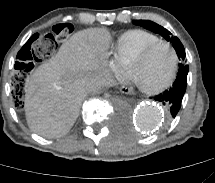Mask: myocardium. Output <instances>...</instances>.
I'll return each instance as SVG.
<instances>
[{
	"label": "myocardium",
	"mask_w": 215,
	"mask_h": 183,
	"mask_svg": "<svg viewBox=\"0 0 215 183\" xmlns=\"http://www.w3.org/2000/svg\"><path fill=\"white\" fill-rule=\"evenodd\" d=\"M161 45L167 46L170 49V51L172 52V54H173V57H174L173 72H172L170 78L164 84H162L161 86L156 87V88H144V87L140 86L138 84V82H137V79H136V76H135V73H134V67L136 65L142 63L150 55V53L155 48H157L158 46H161ZM129 70H130V75H131L133 81L135 82V84L137 85V87L140 90H142L143 92H145L147 94H150V95H156V94H159V93L163 92L167 88H169L174 83V81L176 80L177 75H178V71H179V56H178V53H177L176 49L172 46V44L170 42H168L166 40H159V41H156V42L148 45L147 47H145L132 60V62L130 63V66H129Z\"/></svg>",
	"instance_id": "obj_1"
}]
</instances>
